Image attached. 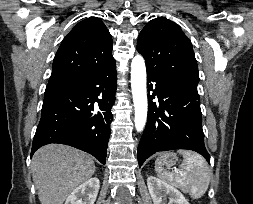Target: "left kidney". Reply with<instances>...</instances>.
I'll return each mask as SVG.
<instances>
[{"mask_svg":"<svg viewBox=\"0 0 253 204\" xmlns=\"http://www.w3.org/2000/svg\"><path fill=\"white\" fill-rule=\"evenodd\" d=\"M147 185L154 204H190L180 191L157 177H148Z\"/></svg>","mask_w":253,"mask_h":204,"instance_id":"left-kidney-1","label":"left kidney"}]
</instances>
